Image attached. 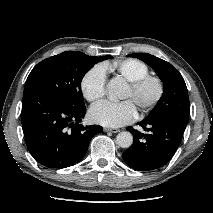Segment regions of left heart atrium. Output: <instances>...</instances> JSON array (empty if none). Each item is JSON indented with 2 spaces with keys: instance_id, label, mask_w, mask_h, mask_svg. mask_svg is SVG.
<instances>
[{
  "instance_id": "left-heart-atrium-1",
  "label": "left heart atrium",
  "mask_w": 213,
  "mask_h": 213,
  "mask_svg": "<svg viewBox=\"0 0 213 213\" xmlns=\"http://www.w3.org/2000/svg\"><path fill=\"white\" fill-rule=\"evenodd\" d=\"M89 117L96 124L106 127H119L135 119L136 107L131 100L120 103L104 101L90 109Z\"/></svg>"
}]
</instances>
